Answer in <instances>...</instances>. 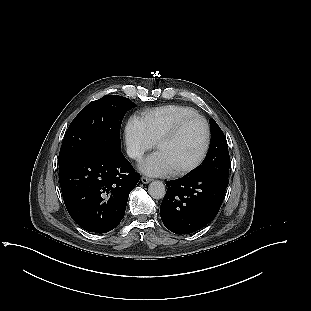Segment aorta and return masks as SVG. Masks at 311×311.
<instances>
[{
	"mask_svg": "<svg viewBox=\"0 0 311 311\" xmlns=\"http://www.w3.org/2000/svg\"><path fill=\"white\" fill-rule=\"evenodd\" d=\"M148 193L153 199H162L165 196L166 189L162 181H152L148 186Z\"/></svg>",
	"mask_w": 311,
	"mask_h": 311,
	"instance_id": "aorta-1",
	"label": "aorta"
}]
</instances>
